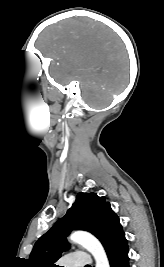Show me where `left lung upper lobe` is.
I'll return each instance as SVG.
<instances>
[{"label":"left lung upper lobe","mask_w":164,"mask_h":267,"mask_svg":"<svg viewBox=\"0 0 164 267\" xmlns=\"http://www.w3.org/2000/svg\"><path fill=\"white\" fill-rule=\"evenodd\" d=\"M119 226V217L104 197L95 193H78L66 215L37 240L28 263L30 267H56L53 263L68 249L66 236L72 230L88 231L104 244Z\"/></svg>","instance_id":"left-lung-upper-lobe-1"}]
</instances>
